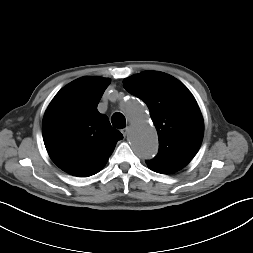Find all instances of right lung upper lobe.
Here are the masks:
<instances>
[{
	"instance_id": "obj_1",
	"label": "right lung upper lobe",
	"mask_w": 253,
	"mask_h": 253,
	"mask_svg": "<svg viewBox=\"0 0 253 253\" xmlns=\"http://www.w3.org/2000/svg\"><path fill=\"white\" fill-rule=\"evenodd\" d=\"M109 78L82 77L61 89L42 123L45 147L54 163L78 177L99 172L123 135L97 110Z\"/></svg>"
}]
</instances>
